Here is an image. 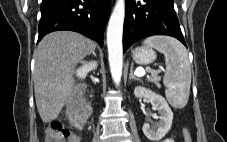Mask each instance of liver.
I'll return each instance as SVG.
<instances>
[{"instance_id":"liver-1","label":"liver","mask_w":227,"mask_h":142,"mask_svg":"<svg viewBox=\"0 0 227 142\" xmlns=\"http://www.w3.org/2000/svg\"><path fill=\"white\" fill-rule=\"evenodd\" d=\"M95 47L92 40L70 31L52 32L39 42L32 79L44 123L56 119L71 101L75 92L73 70Z\"/></svg>"}]
</instances>
